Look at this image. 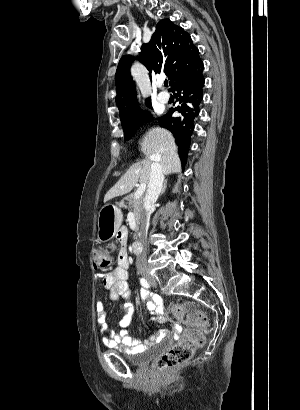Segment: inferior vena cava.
Returning a JSON list of instances; mask_svg holds the SVG:
<instances>
[{
  "instance_id": "inferior-vena-cava-1",
  "label": "inferior vena cava",
  "mask_w": 300,
  "mask_h": 410,
  "mask_svg": "<svg viewBox=\"0 0 300 410\" xmlns=\"http://www.w3.org/2000/svg\"><path fill=\"white\" fill-rule=\"evenodd\" d=\"M163 181L164 172L162 166L156 160H154L151 164L150 180L144 198V211L141 214L140 219L141 242H144L146 239L150 215L155 209V203L161 193ZM140 253L141 254H139L136 258V267L139 271H142L147 268V254L144 249H141Z\"/></svg>"
}]
</instances>
